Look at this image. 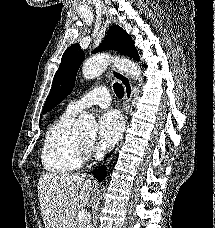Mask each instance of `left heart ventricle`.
Segmentation results:
<instances>
[{"label":"left heart ventricle","instance_id":"left-heart-ventricle-1","mask_svg":"<svg viewBox=\"0 0 215 228\" xmlns=\"http://www.w3.org/2000/svg\"><path fill=\"white\" fill-rule=\"evenodd\" d=\"M85 144H89L91 141L88 140H82Z\"/></svg>","mask_w":215,"mask_h":228}]
</instances>
